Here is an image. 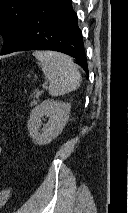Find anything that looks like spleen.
I'll use <instances>...</instances> for the list:
<instances>
[{
  "instance_id": "obj_1",
  "label": "spleen",
  "mask_w": 128,
  "mask_h": 213,
  "mask_svg": "<svg viewBox=\"0 0 128 213\" xmlns=\"http://www.w3.org/2000/svg\"><path fill=\"white\" fill-rule=\"evenodd\" d=\"M42 71L49 80V94L61 96L80 87L81 75L72 58L53 51H34Z\"/></svg>"
}]
</instances>
